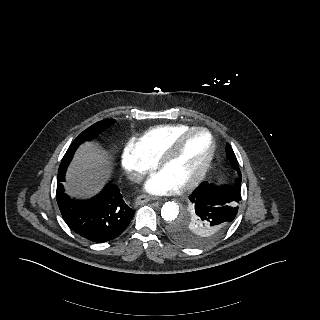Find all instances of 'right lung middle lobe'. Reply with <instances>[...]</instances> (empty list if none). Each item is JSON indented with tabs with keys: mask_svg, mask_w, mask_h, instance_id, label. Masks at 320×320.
<instances>
[{
	"mask_svg": "<svg viewBox=\"0 0 320 320\" xmlns=\"http://www.w3.org/2000/svg\"><path fill=\"white\" fill-rule=\"evenodd\" d=\"M111 123L110 120H102L99 121L86 130H84L75 140L74 142L70 145L68 148L67 152L65 153L59 170H58V177L64 176L65 171L74 155V152L76 149L79 147L80 144H82L85 141H89L94 139L98 134H100L104 129L107 128V126Z\"/></svg>",
	"mask_w": 320,
	"mask_h": 320,
	"instance_id": "dd1d6c3e",
	"label": "right lung middle lobe"
}]
</instances>
